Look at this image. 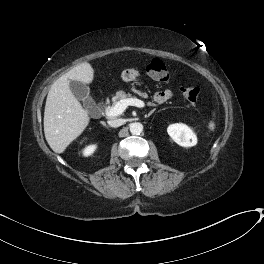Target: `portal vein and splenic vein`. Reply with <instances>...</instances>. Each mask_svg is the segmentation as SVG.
Instances as JSON below:
<instances>
[{
  "label": "portal vein and splenic vein",
  "instance_id": "1",
  "mask_svg": "<svg viewBox=\"0 0 264 264\" xmlns=\"http://www.w3.org/2000/svg\"><path fill=\"white\" fill-rule=\"evenodd\" d=\"M128 106L144 107L145 104L143 101L137 98H127L120 100L113 107L107 108L105 114L109 117H115L121 115Z\"/></svg>",
  "mask_w": 264,
  "mask_h": 264
}]
</instances>
